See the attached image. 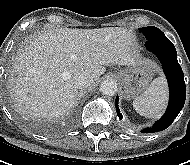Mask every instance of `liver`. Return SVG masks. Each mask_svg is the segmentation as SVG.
Instances as JSON below:
<instances>
[{"label": "liver", "mask_w": 190, "mask_h": 165, "mask_svg": "<svg viewBox=\"0 0 190 165\" xmlns=\"http://www.w3.org/2000/svg\"><path fill=\"white\" fill-rule=\"evenodd\" d=\"M139 62L124 28L50 29L29 40L15 59L14 103L29 117L59 118L76 104L75 74L86 72L96 80L106 65Z\"/></svg>", "instance_id": "6515ba94"}]
</instances>
